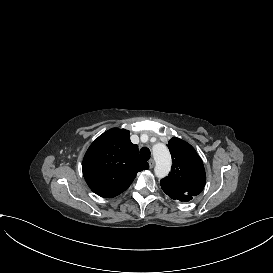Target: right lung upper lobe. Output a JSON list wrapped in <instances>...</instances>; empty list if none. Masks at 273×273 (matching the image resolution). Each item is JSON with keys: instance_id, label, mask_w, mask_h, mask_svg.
Instances as JSON below:
<instances>
[{"instance_id": "right-lung-upper-lobe-1", "label": "right lung upper lobe", "mask_w": 273, "mask_h": 273, "mask_svg": "<svg viewBox=\"0 0 273 273\" xmlns=\"http://www.w3.org/2000/svg\"><path fill=\"white\" fill-rule=\"evenodd\" d=\"M130 132L111 129L99 136L87 150L82 164L84 178L91 190L101 197L113 198L125 191L137 172L149 165L131 143Z\"/></svg>"}]
</instances>
